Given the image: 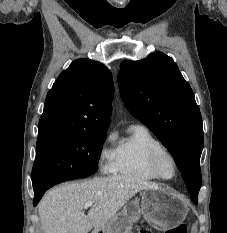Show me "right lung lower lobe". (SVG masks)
I'll use <instances>...</instances> for the list:
<instances>
[{
  "label": "right lung lower lobe",
  "mask_w": 227,
  "mask_h": 233,
  "mask_svg": "<svg viewBox=\"0 0 227 233\" xmlns=\"http://www.w3.org/2000/svg\"><path fill=\"white\" fill-rule=\"evenodd\" d=\"M61 182H64V181L50 182V183L42 185L39 188L34 189L35 197H34V200H33V205L36 206L38 204V202L40 201V199L42 198V196H43V194L45 193L46 190H48L52 186H54L56 184H59Z\"/></svg>",
  "instance_id": "98d812e1"
}]
</instances>
